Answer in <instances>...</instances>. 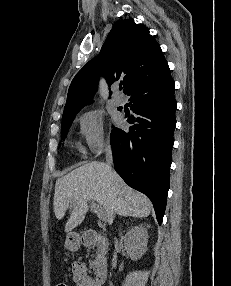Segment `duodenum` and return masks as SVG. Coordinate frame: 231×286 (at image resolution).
<instances>
[{
  "instance_id": "duodenum-1",
  "label": "duodenum",
  "mask_w": 231,
  "mask_h": 286,
  "mask_svg": "<svg viewBox=\"0 0 231 286\" xmlns=\"http://www.w3.org/2000/svg\"><path fill=\"white\" fill-rule=\"evenodd\" d=\"M96 238V234L92 231L85 232L81 236V241L84 245H90L94 239ZM107 278V268L104 265H99L94 274V279L97 284V286H101L104 284Z\"/></svg>"
}]
</instances>
